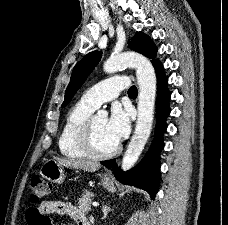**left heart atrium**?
Segmentation results:
<instances>
[{
    "label": "left heart atrium",
    "mask_w": 228,
    "mask_h": 225,
    "mask_svg": "<svg viewBox=\"0 0 228 225\" xmlns=\"http://www.w3.org/2000/svg\"><path fill=\"white\" fill-rule=\"evenodd\" d=\"M108 136L116 143L125 138L130 131V121L126 110L115 106L111 110L106 126Z\"/></svg>",
    "instance_id": "left-heart-atrium-1"
}]
</instances>
